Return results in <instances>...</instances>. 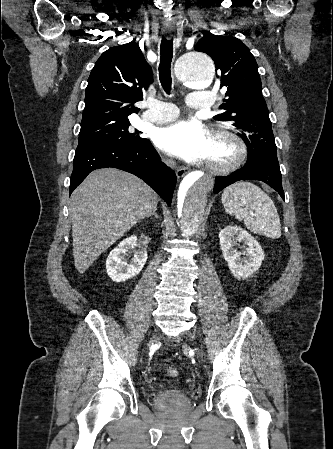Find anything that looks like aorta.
Wrapping results in <instances>:
<instances>
[{
	"label": "aorta",
	"mask_w": 333,
	"mask_h": 449,
	"mask_svg": "<svg viewBox=\"0 0 333 449\" xmlns=\"http://www.w3.org/2000/svg\"><path fill=\"white\" fill-rule=\"evenodd\" d=\"M180 81L190 88H207L215 76V66L204 52L194 51L178 62ZM212 177L199 172H191L180 182L177 189L178 217L182 235L193 236L202 221L207 195L212 191Z\"/></svg>",
	"instance_id": "aorta-1"
}]
</instances>
